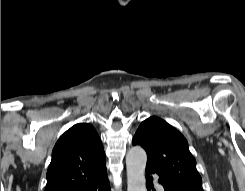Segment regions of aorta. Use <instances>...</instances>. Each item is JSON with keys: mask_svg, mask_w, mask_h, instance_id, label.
<instances>
[{"mask_svg": "<svg viewBox=\"0 0 245 191\" xmlns=\"http://www.w3.org/2000/svg\"><path fill=\"white\" fill-rule=\"evenodd\" d=\"M147 155L143 148L135 146L126 155L127 191H147L145 168Z\"/></svg>", "mask_w": 245, "mask_h": 191, "instance_id": "1", "label": "aorta"}]
</instances>
